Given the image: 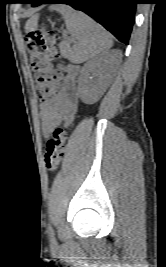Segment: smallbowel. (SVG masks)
Returning a JSON list of instances; mask_svg holds the SVG:
<instances>
[{
  "instance_id": "1",
  "label": "small bowel",
  "mask_w": 166,
  "mask_h": 267,
  "mask_svg": "<svg viewBox=\"0 0 166 267\" xmlns=\"http://www.w3.org/2000/svg\"><path fill=\"white\" fill-rule=\"evenodd\" d=\"M78 70L69 67L59 91L41 105L42 130L48 137L60 122L70 123L77 109V97L74 93Z\"/></svg>"
}]
</instances>
